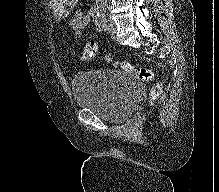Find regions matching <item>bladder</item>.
Returning <instances> with one entry per match:
<instances>
[{
	"label": "bladder",
	"instance_id": "bladder-1",
	"mask_svg": "<svg viewBox=\"0 0 219 192\" xmlns=\"http://www.w3.org/2000/svg\"><path fill=\"white\" fill-rule=\"evenodd\" d=\"M75 104L108 122H120L137 107L140 84L127 73L104 68L77 73L72 80Z\"/></svg>",
	"mask_w": 219,
	"mask_h": 192
}]
</instances>
